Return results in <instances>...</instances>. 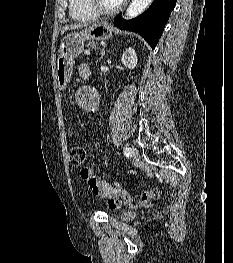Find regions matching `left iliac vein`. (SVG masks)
I'll return each mask as SVG.
<instances>
[{"label":"left iliac vein","instance_id":"left-iliac-vein-1","mask_svg":"<svg viewBox=\"0 0 233 263\" xmlns=\"http://www.w3.org/2000/svg\"><path fill=\"white\" fill-rule=\"evenodd\" d=\"M132 158H133V161L137 162L139 161V158H140V155H139V151L136 147H132Z\"/></svg>","mask_w":233,"mask_h":263}]
</instances>
